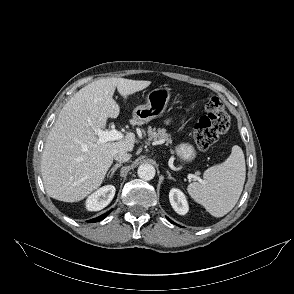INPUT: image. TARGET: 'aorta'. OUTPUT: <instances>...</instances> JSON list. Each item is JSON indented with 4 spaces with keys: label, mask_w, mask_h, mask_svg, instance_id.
Wrapping results in <instances>:
<instances>
[{
    "label": "aorta",
    "mask_w": 294,
    "mask_h": 294,
    "mask_svg": "<svg viewBox=\"0 0 294 294\" xmlns=\"http://www.w3.org/2000/svg\"><path fill=\"white\" fill-rule=\"evenodd\" d=\"M138 176L146 181L152 180L155 176V168L151 164H142L138 168Z\"/></svg>",
    "instance_id": "aorta-1"
}]
</instances>
